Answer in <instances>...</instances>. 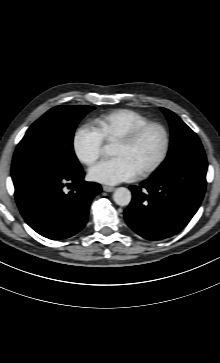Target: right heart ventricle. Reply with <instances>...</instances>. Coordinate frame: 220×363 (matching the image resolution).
<instances>
[{
    "instance_id": "e07e8e85",
    "label": "right heart ventricle",
    "mask_w": 220,
    "mask_h": 363,
    "mask_svg": "<svg viewBox=\"0 0 220 363\" xmlns=\"http://www.w3.org/2000/svg\"><path fill=\"white\" fill-rule=\"evenodd\" d=\"M150 122V119L132 109H119L99 117L96 130L107 142H113L132 130Z\"/></svg>"
}]
</instances>
